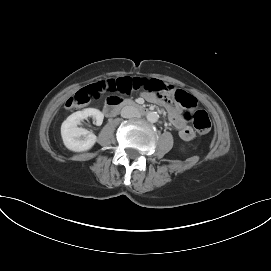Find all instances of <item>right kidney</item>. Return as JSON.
<instances>
[{
    "label": "right kidney",
    "instance_id": "1",
    "mask_svg": "<svg viewBox=\"0 0 271 271\" xmlns=\"http://www.w3.org/2000/svg\"><path fill=\"white\" fill-rule=\"evenodd\" d=\"M92 117L100 126L103 122L104 115L98 109L86 108L71 114L61 126V136L64 145L71 151L82 152L93 147L97 137L88 130L78 127L83 119Z\"/></svg>",
    "mask_w": 271,
    "mask_h": 271
}]
</instances>
